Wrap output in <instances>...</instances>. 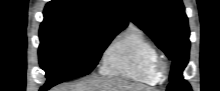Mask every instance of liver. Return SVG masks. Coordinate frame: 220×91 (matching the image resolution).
<instances>
[{"mask_svg":"<svg viewBox=\"0 0 220 91\" xmlns=\"http://www.w3.org/2000/svg\"><path fill=\"white\" fill-rule=\"evenodd\" d=\"M52 91H151L149 87L120 78L93 76L82 82L63 85Z\"/></svg>","mask_w":220,"mask_h":91,"instance_id":"liver-1","label":"liver"}]
</instances>
